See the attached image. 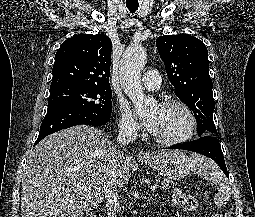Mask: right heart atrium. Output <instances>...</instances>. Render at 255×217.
I'll return each mask as SVG.
<instances>
[{
    "mask_svg": "<svg viewBox=\"0 0 255 217\" xmlns=\"http://www.w3.org/2000/svg\"><path fill=\"white\" fill-rule=\"evenodd\" d=\"M119 128L121 133L128 136H136L139 133V123L131 110L125 105L119 107Z\"/></svg>",
    "mask_w": 255,
    "mask_h": 217,
    "instance_id": "1",
    "label": "right heart atrium"
}]
</instances>
